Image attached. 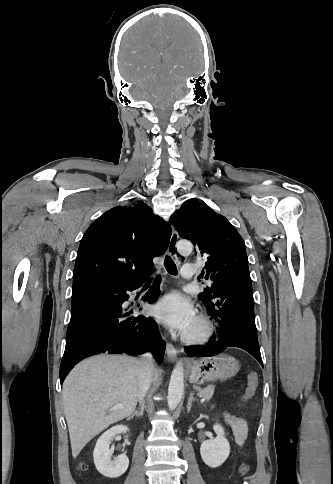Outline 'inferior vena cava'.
<instances>
[{"label": "inferior vena cava", "mask_w": 333, "mask_h": 484, "mask_svg": "<svg viewBox=\"0 0 333 484\" xmlns=\"http://www.w3.org/2000/svg\"><path fill=\"white\" fill-rule=\"evenodd\" d=\"M138 364V399L143 403L147 391L152 383L153 378V357L150 353H145L137 361Z\"/></svg>", "instance_id": "obj_1"}]
</instances>
